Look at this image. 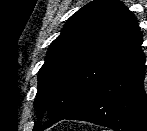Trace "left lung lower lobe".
Here are the masks:
<instances>
[{"instance_id":"obj_1","label":"left lung lower lobe","mask_w":147,"mask_h":131,"mask_svg":"<svg viewBox=\"0 0 147 131\" xmlns=\"http://www.w3.org/2000/svg\"><path fill=\"white\" fill-rule=\"evenodd\" d=\"M145 70L140 49L103 79L85 103L65 119L87 121L116 131H147Z\"/></svg>"}]
</instances>
